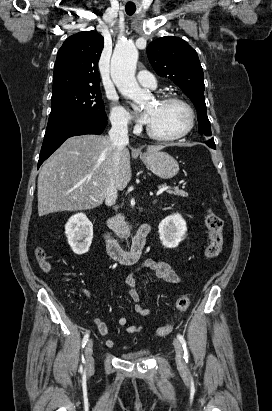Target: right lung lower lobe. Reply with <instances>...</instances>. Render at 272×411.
Masks as SVG:
<instances>
[{"label": "right lung lower lobe", "mask_w": 272, "mask_h": 411, "mask_svg": "<svg viewBox=\"0 0 272 411\" xmlns=\"http://www.w3.org/2000/svg\"><path fill=\"white\" fill-rule=\"evenodd\" d=\"M106 125L107 119L77 118L46 129L38 168L67 138L83 134H101Z\"/></svg>", "instance_id": "1"}]
</instances>
